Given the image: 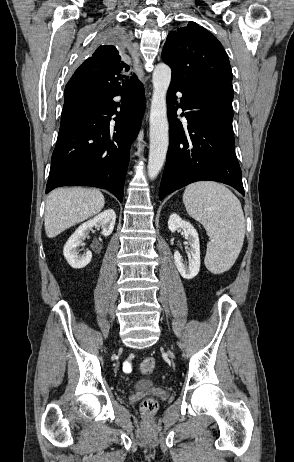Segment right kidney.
<instances>
[{"mask_svg":"<svg viewBox=\"0 0 294 462\" xmlns=\"http://www.w3.org/2000/svg\"><path fill=\"white\" fill-rule=\"evenodd\" d=\"M115 221L116 214L114 210L109 209L80 225L67 240L63 249L68 264L75 269L87 266L92 259V252L87 250L83 255H79V246L82 241L85 240L94 226L101 227L102 235L109 236L114 229Z\"/></svg>","mask_w":294,"mask_h":462,"instance_id":"obj_1","label":"right kidney"}]
</instances>
